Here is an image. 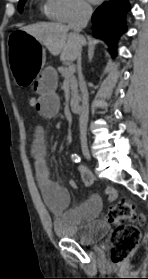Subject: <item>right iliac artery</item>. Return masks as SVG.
I'll list each match as a JSON object with an SVG mask.
<instances>
[{
  "label": "right iliac artery",
  "mask_w": 148,
  "mask_h": 279,
  "mask_svg": "<svg viewBox=\"0 0 148 279\" xmlns=\"http://www.w3.org/2000/svg\"><path fill=\"white\" fill-rule=\"evenodd\" d=\"M71 158H72V160L74 161V162H80V157H79V155H77V154H72V156H71Z\"/></svg>",
  "instance_id": "right-iliac-artery-1"
}]
</instances>
